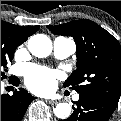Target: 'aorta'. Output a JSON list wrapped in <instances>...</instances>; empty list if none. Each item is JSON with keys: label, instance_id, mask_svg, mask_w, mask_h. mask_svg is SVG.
Returning <instances> with one entry per match:
<instances>
[{"label": "aorta", "instance_id": "aorta-1", "mask_svg": "<svg viewBox=\"0 0 121 121\" xmlns=\"http://www.w3.org/2000/svg\"><path fill=\"white\" fill-rule=\"evenodd\" d=\"M28 49L36 57H47L52 51V42L48 36L36 34L29 39ZM54 113L56 117L66 119L70 116L71 106L68 103H58Z\"/></svg>", "mask_w": 121, "mask_h": 121}]
</instances>
